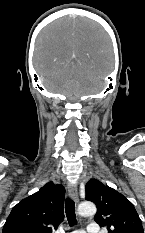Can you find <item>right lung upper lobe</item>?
<instances>
[{
    "mask_svg": "<svg viewBox=\"0 0 145 233\" xmlns=\"http://www.w3.org/2000/svg\"><path fill=\"white\" fill-rule=\"evenodd\" d=\"M64 196L62 185L47 183L12 209L2 233H52L64 219Z\"/></svg>",
    "mask_w": 145,
    "mask_h": 233,
    "instance_id": "1",
    "label": "right lung upper lobe"
}]
</instances>
